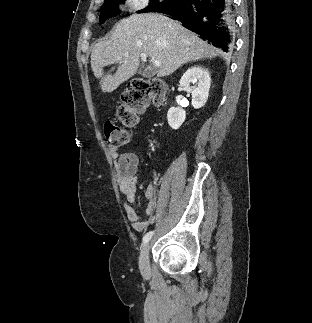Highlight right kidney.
<instances>
[{"label":"right kidney","mask_w":312,"mask_h":323,"mask_svg":"<svg viewBox=\"0 0 312 323\" xmlns=\"http://www.w3.org/2000/svg\"><path fill=\"white\" fill-rule=\"evenodd\" d=\"M210 82L209 72L203 66H192L183 74L180 86L185 92L191 94L192 106L195 110L205 106L209 96ZM190 84H194V86H190ZM185 118V112L182 108H169L167 120L172 130H178L185 122Z\"/></svg>","instance_id":"obj_1"}]
</instances>
